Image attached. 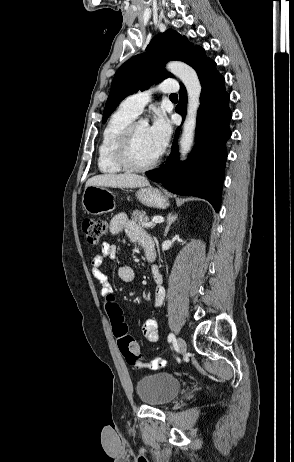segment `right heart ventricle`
<instances>
[{"instance_id":"1","label":"right heart ventricle","mask_w":294,"mask_h":462,"mask_svg":"<svg viewBox=\"0 0 294 462\" xmlns=\"http://www.w3.org/2000/svg\"><path fill=\"white\" fill-rule=\"evenodd\" d=\"M136 115L122 105L111 115L106 123L98 147L97 165L104 174H117L124 171L114 159V148L122 130L135 119Z\"/></svg>"}]
</instances>
